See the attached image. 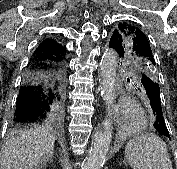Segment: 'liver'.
I'll return each mask as SVG.
<instances>
[{"mask_svg": "<svg viewBox=\"0 0 177 169\" xmlns=\"http://www.w3.org/2000/svg\"><path fill=\"white\" fill-rule=\"evenodd\" d=\"M55 136L48 127L18 133L4 146L1 169H40L54 149Z\"/></svg>", "mask_w": 177, "mask_h": 169, "instance_id": "1", "label": "liver"}]
</instances>
